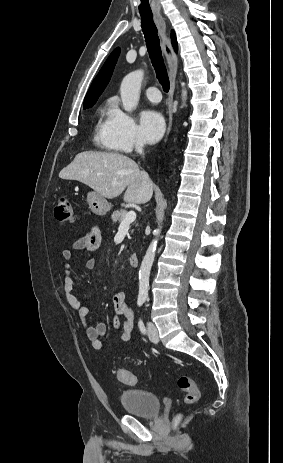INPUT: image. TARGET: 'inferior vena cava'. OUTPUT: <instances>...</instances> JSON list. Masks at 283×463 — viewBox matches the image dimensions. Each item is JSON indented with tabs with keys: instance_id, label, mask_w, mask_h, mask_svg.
<instances>
[{
	"instance_id": "1",
	"label": "inferior vena cava",
	"mask_w": 283,
	"mask_h": 463,
	"mask_svg": "<svg viewBox=\"0 0 283 463\" xmlns=\"http://www.w3.org/2000/svg\"><path fill=\"white\" fill-rule=\"evenodd\" d=\"M145 142L141 139H138L136 141V151L140 154L143 153V147H144Z\"/></svg>"
}]
</instances>
